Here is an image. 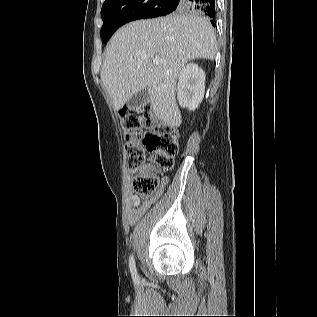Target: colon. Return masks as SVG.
I'll list each match as a JSON object with an SVG mask.
<instances>
[{
    "instance_id": "5ec220e1",
    "label": "colon",
    "mask_w": 317,
    "mask_h": 317,
    "mask_svg": "<svg viewBox=\"0 0 317 317\" xmlns=\"http://www.w3.org/2000/svg\"><path fill=\"white\" fill-rule=\"evenodd\" d=\"M124 130L125 164L136 173L132 179L134 191L142 198H151L159 188V180L147 166V153L151 154L154 169L166 172L173 166L179 148V134L173 127L155 121L150 107L132 106L121 110Z\"/></svg>"
}]
</instances>
